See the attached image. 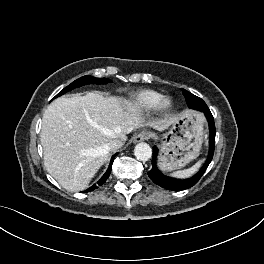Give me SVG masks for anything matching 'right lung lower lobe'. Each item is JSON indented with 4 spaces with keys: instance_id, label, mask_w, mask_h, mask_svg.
Wrapping results in <instances>:
<instances>
[{
    "instance_id": "right-lung-lower-lobe-1",
    "label": "right lung lower lobe",
    "mask_w": 264,
    "mask_h": 264,
    "mask_svg": "<svg viewBox=\"0 0 264 264\" xmlns=\"http://www.w3.org/2000/svg\"><path fill=\"white\" fill-rule=\"evenodd\" d=\"M116 156L113 155L111 158V162L110 165L108 167V170L106 171V173L102 176V178L97 182V184H94L93 186H91L89 189H87L85 192H89V191H93L94 189H96L98 186H101L102 184H104L107 180V178L109 177L110 173H111V167H112V163L114 160V157Z\"/></svg>"
}]
</instances>
